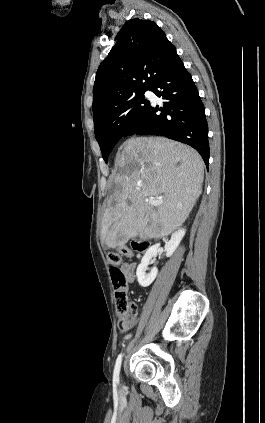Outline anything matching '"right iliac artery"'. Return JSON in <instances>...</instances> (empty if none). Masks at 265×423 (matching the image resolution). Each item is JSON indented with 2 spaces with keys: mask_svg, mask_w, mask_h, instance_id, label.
I'll return each mask as SVG.
<instances>
[{
  "mask_svg": "<svg viewBox=\"0 0 265 423\" xmlns=\"http://www.w3.org/2000/svg\"><path fill=\"white\" fill-rule=\"evenodd\" d=\"M121 362H122V354H120L116 360L114 373H113V382L115 384L119 383V373L121 368Z\"/></svg>",
  "mask_w": 265,
  "mask_h": 423,
  "instance_id": "obj_1",
  "label": "right iliac artery"
}]
</instances>
